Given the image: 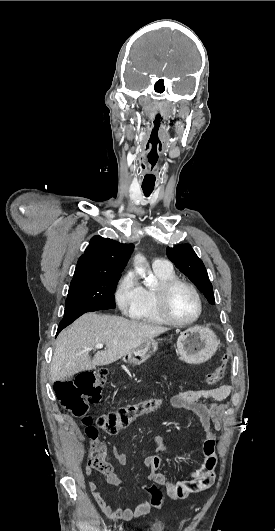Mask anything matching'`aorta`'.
<instances>
[{
	"mask_svg": "<svg viewBox=\"0 0 275 531\" xmlns=\"http://www.w3.org/2000/svg\"><path fill=\"white\" fill-rule=\"evenodd\" d=\"M144 263H145L144 257H142V255H136L134 269L136 273L140 275L141 279H144V285H146V287H151L153 283V279H151V277L150 279L149 277H146Z\"/></svg>",
	"mask_w": 275,
	"mask_h": 531,
	"instance_id": "obj_1",
	"label": "aorta"
}]
</instances>
